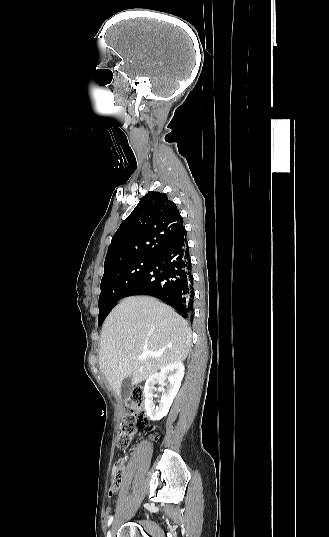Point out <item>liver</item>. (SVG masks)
<instances>
[{
    "label": "liver",
    "instance_id": "obj_1",
    "mask_svg": "<svg viewBox=\"0 0 329 537\" xmlns=\"http://www.w3.org/2000/svg\"><path fill=\"white\" fill-rule=\"evenodd\" d=\"M192 333L171 307L148 296L123 299L103 325L99 365L106 380L119 395L122 381L133 385L144 381L168 364L186 359ZM151 352L144 361L139 355Z\"/></svg>",
    "mask_w": 329,
    "mask_h": 537
}]
</instances>
